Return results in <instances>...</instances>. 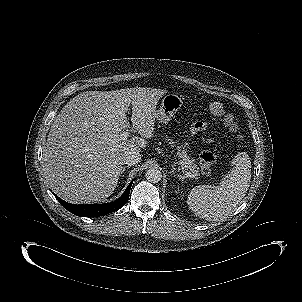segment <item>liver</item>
<instances>
[{"instance_id":"obj_1","label":"liver","mask_w":302,"mask_h":302,"mask_svg":"<svg viewBox=\"0 0 302 302\" xmlns=\"http://www.w3.org/2000/svg\"><path fill=\"white\" fill-rule=\"evenodd\" d=\"M165 90L86 91L71 99L50 128L43 171L52 190L75 204L101 202L115 190L124 158L153 137L155 105ZM140 136L112 141L130 127Z\"/></svg>"}]
</instances>
